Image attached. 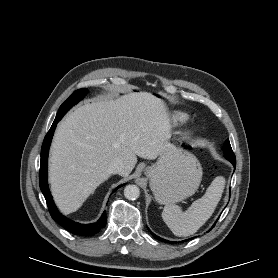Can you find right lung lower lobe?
<instances>
[{"instance_id":"98d812e1","label":"right lung lower lobe","mask_w":278,"mask_h":278,"mask_svg":"<svg viewBox=\"0 0 278 278\" xmlns=\"http://www.w3.org/2000/svg\"><path fill=\"white\" fill-rule=\"evenodd\" d=\"M63 116H64V114H57V116H56L50 130L48 131L47 135L45 136V139L42 144L41 161H40V177H39L40 189L46 199L49 212H50L52 218L57 223H59L61 226H63L65 229H67L68 231H70L73 234L90 236V235L96 234L102 228H104V226L106 225V212L103 213L101 218L96 223H91V224L76 223V222L64 217L62 214L59 213L56 206L54 205V202L51 198L50 191L48 188V182H47L48 151H49V147H50V143L52 140L54 130L56 128V124L61 120V118ZM121 186H123V185H121Z\"/></svg>"}]
</instances>
